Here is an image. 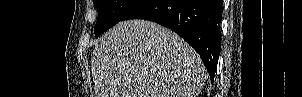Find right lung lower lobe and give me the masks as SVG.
<instances>
[{"mask_svg": "<svg viewBox=\"0 0 302 97\" xmlns=\"http://www.w3.org/2000/svg\"><path fill=\"white\" fill-rule=\"evenodd\" d=\"M221 8L222 0H141L122 21L145 19L175 31L198 52L213 82L221 48Z\"/></svg>", "mask_w": 302, "mask_h": 97, "instance_id": "1", "label": "right lung lower lobe"}]
</instances>
